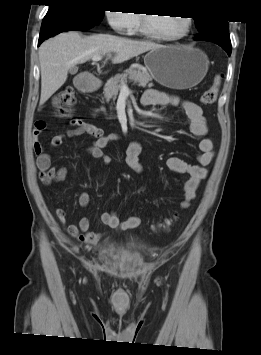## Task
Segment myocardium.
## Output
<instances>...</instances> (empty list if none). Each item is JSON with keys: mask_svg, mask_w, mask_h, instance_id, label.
Instances as JSON below:
<instances>
[{"mask_svg": "<svg viewBox=\"0 0 261 355\" xmlns=\"http://www.w3.org/2000/svg\"><path fill=\"white\" fill-rule=\"evenodd\" d=\"M184 22H185V28L184 30L176 35V36H165L162 34H158L154 32L148 25V17L147 14H142L140 15V31L142 34L145 36L154 39V40H160V41H167V42H174V41H179L183 38H185L192 27V19L189 16H183Z\"/></svg>", "mask_w": 261, "mask_h": 355, "instance_id": "myocardium-1", "label": "myocardium"}]
</instances>
